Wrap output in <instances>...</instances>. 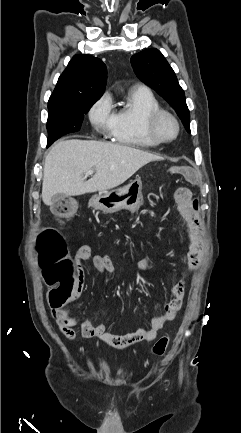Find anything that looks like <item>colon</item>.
<instances>
[{"label":"colon","instance_id":"5ec220e1","mask_svg":"<svg viewBox=\"0 0 241 433\" xmlns=\"http://www.w3.org/2000/svg\"><path fill=\"white\" fill-rule=\"evenodd\" d=\"M166 176L186 177V182L196 184L199 178L194 168H170L164 171ZM48 214L57 220L68 214H81L82 207L78 200H57L47 206ZM36 253L48 291V301L57 312L66 310V305L76 293V274L72 260L68 255L67 245L62 235L54 228L39 231L36 242ZM169 343L167 336L161 337L153 346L155 356H162ZM117 344V343H116Z\"/></svg>","mask_w":241,"mask_h":433}]
</instances>
